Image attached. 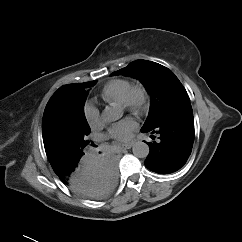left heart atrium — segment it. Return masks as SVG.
I'll use <instances>...</instances> for the list:
<instances>
[{
    "mask_svg": "<svg viewBox=\"0 0 242 242\" xmlns=\"http://www.w3.org/2000/svg\"><path fill=\"white\" fill-rule=\"evenodd\" d=\"M136 127L137 122L131 117H126L109 129V137L118 142H127Z\"/></svg>",
    "mask_w": 242,
    "mask_h": 242,
    "instance_id": "1",
    "label": "left heart atrium"
}]
</instances>
